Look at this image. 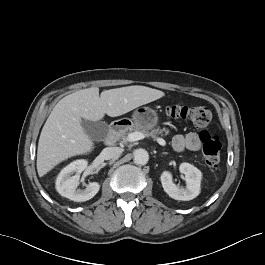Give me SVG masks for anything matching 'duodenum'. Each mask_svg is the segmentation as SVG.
<instances>
[{
    "label": "duodenum",
    "mask_w": 265,
    "mask_h": 265,
    "mask_svg": "<svg viewBox=\"0 0 265 265\" xmlns=\"http://www.w3.org/2000/svg\"><path fill=\"white\" fill-rule=\"evenodd\" d=\"M127 126L126 122L118 121L114 122L110 126L109 134L105 139V144L107 146H112L118 140L119 136L121 135L123 129Z\"/></svg>",
    "instance_id": "obj_1"
}]
</instances>
